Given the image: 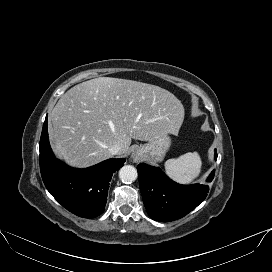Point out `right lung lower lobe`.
Here are the masks:
<instances>
[{"label": "right lung lower lobe", "instance_id": "obj_1", "mask_svg": "<svg viewBox=\"0 0 272 272\" xmlns=\"http://www.w3.org/2000/svg\"><path fill=\"white\" fill-rule=\"evenodd\" d=\"M40 170L50 194L68 211L83 218H95L107 201L109 182L125 159H108L86 169L67 166L52 153L47 117L40 138Z\"/></svg>", "mask_w": 272, "mask_h": 272}]
</instances>
